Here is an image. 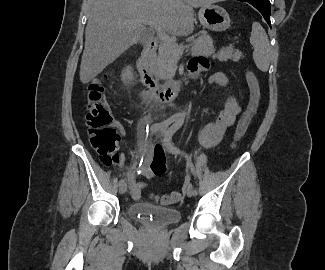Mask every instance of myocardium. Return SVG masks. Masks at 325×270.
Masks as SVG:
<instances>
[{"label":"myocardium","mask_w":325,"mask_h":270,"mask_svg":"<svg viewBox=\"0 0 325 270\" xmlns=\"http://www.w3.org/2000/svg\"><path fill=\"white\" fill-rule=\"evenodd\" d=\"M211 1H223V0H211Z\"/></svg>","instance_id":"1"}]
</instances>
